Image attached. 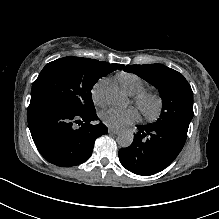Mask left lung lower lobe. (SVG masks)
Masks as SVG:
<instances>
[{
  "label": "left lung lower lobe",
  "instance_id": "1",
  "mask_svg": "<svg viewBox=\"0 0 219 219\" xmlns=\"http://www.w3.org/2000/svg\"><path fill=\"white\" fill-rule=\"evenodd\" d=\"M133 143L119 150L121 164L129 171L149 176L164 170L182 150L187 132L176 127L137 126Z\"/></svg>",
  "mask_w": 219,
  "mask_h": 219
}]
</instances>
